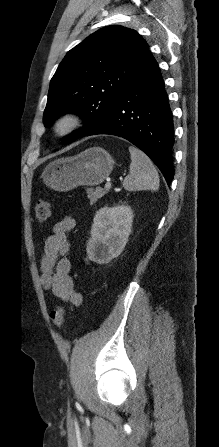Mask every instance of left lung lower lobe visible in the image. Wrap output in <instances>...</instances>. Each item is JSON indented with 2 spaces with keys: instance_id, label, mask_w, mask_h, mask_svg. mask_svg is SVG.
Returning <instances> with one entry per match:
<instances>
[{
  "instance_id": "1",
  "label": "left lung lower lobe",
  "mask_w": 219,
  "mask_h": 447,
  "mask_svg": "<svg viewBox=\"0 0 219 447\" xmlns=\"http://www.w3.org/2000/svg\"><path fill=\"white\" fill-rule=\"evenodd\" d=\"M97 134L127 139L153 160L168 185L173 180V118L159 66L149 49L103 119L87 136Z\"/></svg>"
}]
</instances>
